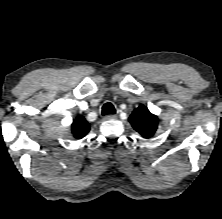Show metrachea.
I'll return each instance as SVG.
<instances>
[{
    "label": "trachea",
    "mask_w": 222,
    "mask_h": 219,
    "mask_svg": "<svg viewBox=\"0 0 222 219\" xmlns=\"http://www.w3.org/2000/svg\"><path fill=\"white\" fill-rule=\"evenodd\" d=\"M116 110L111 103H105L102 107V115L115 114Z\"/></svg>",
    "instance_id": "obj_1"
}]
</instances>
